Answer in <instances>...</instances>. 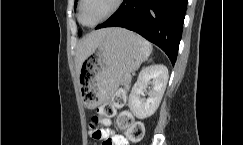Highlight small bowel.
I'll use <instances>...</instances> for the list:
<instances>
[{
  "instance_id": "c3829d8e",
  "label": "small bowel",
  "mask_w": 243,
  "mask_h": 145,
  "mask_svg": "<svg viewBox=\"0 0 243 145\" xmlns=\"http://www.w3.org/2000/svg\"><path fill=\"white\" fill-rule=\"evenodd\" d=\"M92 137L97 140H104V142H108V145H129V141L124 135L115 134L110 128L99 129L97 134Z\"/></svg>"
}]
</instances>
